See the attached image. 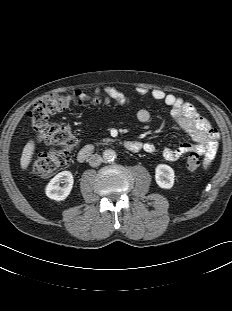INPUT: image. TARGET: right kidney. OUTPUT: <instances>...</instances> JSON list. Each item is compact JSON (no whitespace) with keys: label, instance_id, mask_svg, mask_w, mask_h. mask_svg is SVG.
<instances>
[{"label":"right kidney","instance_id":"right-kidney-1","mask_svg":"<svg viewBox=\"0 0 232 311\" xmlns=\"http://www.w3.org/2000/svg\"><path fill=\"white\" fill-rule=\"evenodd\" d=\"M63 183V186H60ZM74 179L70 171H62L54 176L45 188L47 197L55 201L67 198L73 187Z\"/></svg>","mask_w":232,"mask_h":311}]
</instances>
